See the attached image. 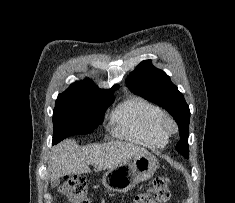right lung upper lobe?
Listing matches in <instances>:
<instances>
[{"mask_svg": "<svg viewBox=\"0 0 235 203\" xmlns=\"http://www.w3.org/2000/svg\"><path fill=\"white\" fill-rule=\"evenodd\" d=\"M119 86L115 85L109 90L99 89L91 80L76 82L70 85L65 92H92L100 94H112Z\"/></svg>", "mask_w": 235, "mask_h": 203, "instance_id": "right-lung-upper-lobe-1", "label": "right lung upper lobe"}]
</instances>
